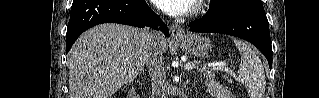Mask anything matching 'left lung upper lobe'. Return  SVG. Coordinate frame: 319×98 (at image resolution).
<instances>
[{"instance_id":"left-lung-upper-lobe-1","label":"left lung upper lobe","mask_w":319,"mask_h":98,"mask_svg":"<svg viewBox=\"0 0 319 98\" xmlns=\"http://www.w3.org/2000/svg\"><path fill=\"white\" fill-rule=\"evenodd\" d=\"M242 0H211L209 10L205 14L206 18H215L223 14L231 5Z\"/></svg>"}]
</instances>
